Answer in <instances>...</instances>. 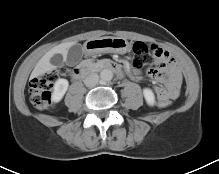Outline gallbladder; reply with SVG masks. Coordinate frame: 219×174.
Masks as SVG:
<instances>
[{
    "instance_id": "1",
    "label": "gallbladder",
    "mask_w": 219,
    "mask_h": 174,
    "mask_svg": "<svg viewBox=\"0 0 219 174\" xmlns=\"http://www.w3.org/2000/svg\"><path fill=\"white\" fill-rule=\"evenodd\" d=\"M83 47L80 44H74L72 47L69 48L66 62L70 66H74L78 64L83 56Z\"/></svg>"
}]
</instances>
